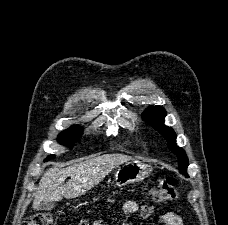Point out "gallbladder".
<instances>
[{
	"label": "gallbladder",
	"instance_id": "bac80fb5",
	"mask_svg": "<svg viewBox=\"0 0 228 225\" xmlns=\"http://www.w3.org/2000/svg\"><path fill=\"white\" fill-rule=\"evenodd\" d=\"M56 207L54 201H50V203H40V211H52Z\"/></svg>",
	"mask_w": 228,
	"mask_h": 225
}]
</instances>
